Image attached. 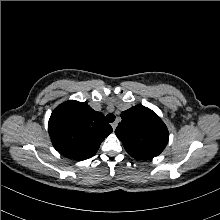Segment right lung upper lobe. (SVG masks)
I'll use <instances>...</instances> for the list:
<instances>
[{"label": "right lung upper lobe", "instance_id": "cb5924a9", "mask_svg": "<svg viewBox=\"0 0 220 220\" xmlns=\"http://www.w3.org/2000/svg\"><path fill=\"white\" fill-rule=\"evenodd\" d=\"M49 135L55 149L65 157L84 160L92 157L112 132L101 112L87 102L75 100L60 104L51 114Z\"/></svg>", "mask_w": 220, "mask_h": 220}]
</instances>
